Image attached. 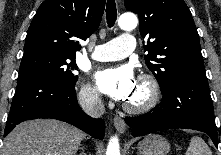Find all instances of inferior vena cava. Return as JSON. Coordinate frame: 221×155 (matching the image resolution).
I'll return each mask as SVG.
<instances>
[{"label":"inferior vena cava","mask_w":221,"mask_h":155,"mask_svg":"<svg viewBox=\"0 0 221 155\" xmlns=\"http://www.w3.org/2000/svg\"><path fill=\"white\" fill-rule=\"evenodd\" d=\"M79 103L82 109L92 117H100L105 112L99 92L96 90L87 91L79 96Z\"/></svg>","instance_id":"inferior-vena-cava-1"}]
</instances>
